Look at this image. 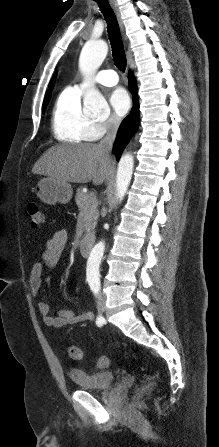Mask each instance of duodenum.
<instances>
[{
  "mask_svg": "<svg viewBox=\"0 0 219 447\" xmlns=\"http://www.w3.org/2000/svg\"><path fill=\"white\" fill-rule=\"evenodd\" d=\"M92 240H93V238L91 235H86L82 238V240L80 242V252H81L82 256H84V257L89 256L91 245H92Z\"/></svg>",
  "mask_w": 219,
  "mask_h": 447,
  "instance_id": "1",
  "label": "duodenum"
}]
</instances>
